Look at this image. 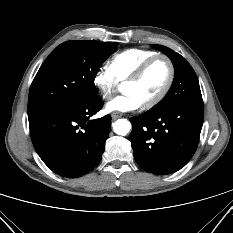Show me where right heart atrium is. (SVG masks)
I'll list each match as a JSON object with an SVG mask.
<instances>
[{
    "instance_id": "right-heart-atrium-1",
    "label": "right heart atrium",
    "mask_w": 233,
    "mask_h": 233,
    "mask_svg": "<svg viewBox=\"0 0 233 233\" xmlns=\"http://www.w3.org/2000/svg\"><path fill=\"white\" fill-rule=\"evenodd\" d=\"M93 83L104 99L110 98L119 85L108 68L99 69L94 75Z\"/></svg>"
}]
</instances>
